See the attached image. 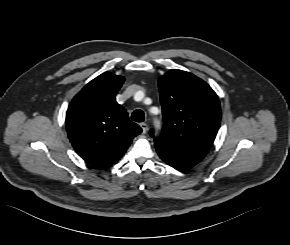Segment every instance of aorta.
<instances>
[{"instance_id": "1", "label": "aorta", "mask_w": 290, "mask_h": 245, "mask_svg": "<svg viewBox=\"0 0 290 245\" xmlns=\"http://www.w3.org/2000/svg\"><path fill=\"white\" fill-rule=\"evenodd\" d=\"M155 124H156V127H159V122H155Z\"/></svg>"}]
</instances>
